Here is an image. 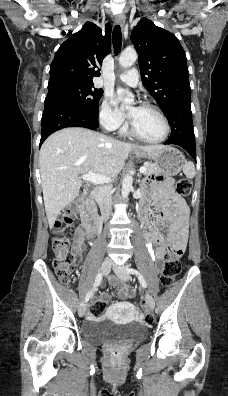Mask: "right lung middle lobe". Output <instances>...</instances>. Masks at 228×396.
<instances>
[{"label": "right lung middle lobe", "mask_w": 228, "mask_h": 396, "mask_svg": "<svg viewBox=\"0 0 228 396\" xmlns=\"http://www.w3.org/2000/svg\"><path fill=\"white\" fill-rule=\"evenodd\" d=\"M103 90L94 87V84L64 82L48 86V99H63L75 106L95 114H98V105Z\"/></svg>", "instance_id": "1"}]
</instances>
